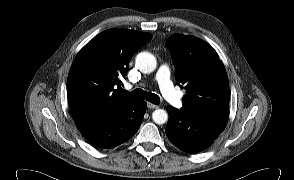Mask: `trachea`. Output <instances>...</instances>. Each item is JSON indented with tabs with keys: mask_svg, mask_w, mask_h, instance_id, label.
<instances>
[{
	"mask_svg": "<svg viewBox=\"0 0 294 180\" xmlns=\"http://www.w3.org/2000/svg\"><path fill=\"white\" fill-rule=\"evenodd\" d=\"M124 94L127 96L134 98V99H146L147 101L153 103V104H159L160 103V98L158 95L153 94L151 92H146L142 89H135L132 92H128L126 90H122Z\"/></svg>",
	"mask_w": 294,
	"mask_h": 180,
	"instance_id": "3493384b",
	"label": "trachea"
}]
</instances>
